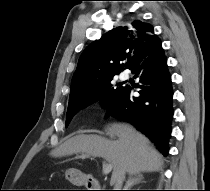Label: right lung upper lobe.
I'll list each match as a JSON object with an SVG mask.
<instances>
[{
  "instance_id": "obj_1",
  "label": "right lung upper lobe",
  "mask_w": 210,
  "mask_h": 191,
  "mask_svg": "<svg viewBox=\"0 0 210 191\" xmlns=\"http://www.w3.org/2000/svg\"><path fill=\"white\" fill-rule=\"evenodd\" d=\"M153 27L141 21L117 27L88 45L81 54L71 81L69 100L88 93L107 77L130 69L143 50L157 37ZM126 64H121L122 61Z\"/></svg>"
}]
</instances>
